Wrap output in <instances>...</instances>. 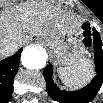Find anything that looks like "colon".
<instances>
[{
    "label": "colon",
    "mask_w": 103,
    "mask_h": 103,
    "mask_svg": "<svg viewBox=\"0 0 103 103\" xmlns=\"http://www.w3.org/2000/svg\"><path fill=\"white\" fill-rule=\"evenodd\" d=\"M84 28L87 29V28H88V25H84ZM85 36H86V38H85V42L88 43V42H89V39L87 38L88 35L86 34Z\"/></svg>",
    "instance_id": "5ec220e1"
}]
</instances>
